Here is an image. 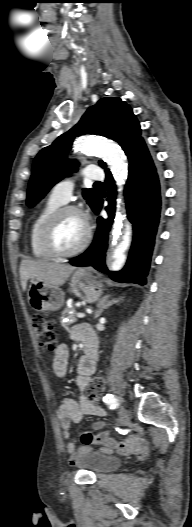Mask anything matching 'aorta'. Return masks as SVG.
Returning <instances> with one entry per match:
<instances>
[{"mask_svg":"<svg viewBox=\"0 0 192 527\" xmlns=\"http://www.w3.org/2000/svg\"><path fill=\"white\" fill-rule=\"evenodd\" d=\"M76 150L102 156L110 166L116 184L119 187V191L121 190L122 185L127 179V163L125 155L119 146L99 137L88 136L79 139L75 145V151ZM119 203L120 199H118V211L112 230L111 242L112 246L117 248L119 251V259L114 267L116 270L121 269L124 265L126 259L124 252L127 250L130 244L129 232L123 243V246L121 248L119 247V241L123 237V220L125 218V216L119 212Z\"/></svg>","mask_w":192,"mask_h":527,"instance_id":"aorta-1","label":"aorta"}]
</instances>
